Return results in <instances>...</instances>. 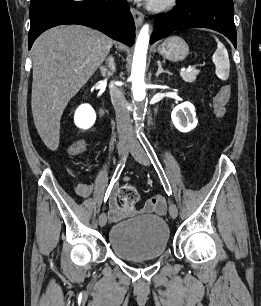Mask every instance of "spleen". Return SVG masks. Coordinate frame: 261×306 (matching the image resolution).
Here are the masks:
<instances>
[{"label": "spleen", "instance_id": "spleen-1", "mask_svg": "<svg viewBox=\"0 0 261 306\" xmlns=\"http://www.w3.org/2000/svg\"><path fill=\"white\" fill-rule=\"evenodd\" d=\"M217 49L212 56L216 66V75L221 80H227L230 72L229 56L224 45L216 38Z\"/></svg>", "mask_w": 261, "mask_h": 306}]
</instances>
